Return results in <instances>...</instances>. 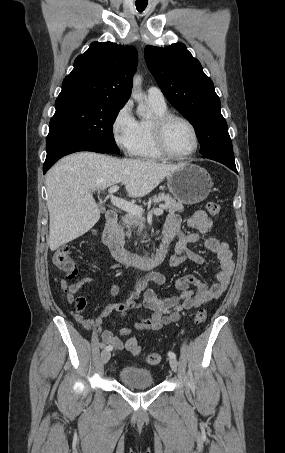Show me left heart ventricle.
<instances>
[{"label":"left heart ventricle","mask_w":285,"mask_h":453,"mask_svg":"<svg viewBox=\"0 0 285 453\" xmlns=\"http://www.w3.org/2000/svg\"><path fill=\"white\" fill-rule=\"evenodd\" d=\"M169 149L175 154H186L194 147V137L191 129L182 121H172L166 132Z\"/></svg>","instance_id":"1"}]
</instances>
